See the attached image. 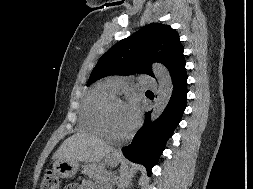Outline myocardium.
Masks as SVG:
<instances>
[{"mask_svg":"<svg viewBox=\"0 0 253 189\" xmlns=\"http://www.w3.org/2000/svg\"><path fill=\"white\" fill-rule=\"evenodd\" d=\"M116 103H123V100L118 97V96H113L111 98H109L108 100H106V102L103 104L102 108H101V114H100V118H101V125L104 131V134L110 138H114V139H120V140H126L129 139L133 132L135 131V129L138 126V122H136L128 131H126L125 133L119 134V133H115L109 125V111L110 108L112 107L113 104Z\"/></svg>","mask_w":253,"mask_h":189,"instance_id":"1","label":"myocardium"}]
</instances>
